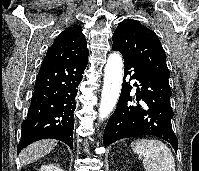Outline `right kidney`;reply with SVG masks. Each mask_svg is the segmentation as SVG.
<instances>
[{"instance_id": "ca27d5eb", "label": "right kidney", "mask_w": 199, "mask_h": 171, "mask_svg": "<svg viewBox=\"0 0 199 171\" xmlns=\"http://www.w3.org/2000/svg\"><path fill=\"white\" fill-rule=\"evenodd\" d=\"M39 171H63V169L54 164H45Z\"/></svg>"}]
</instances>
